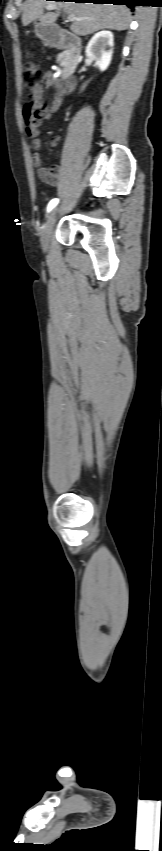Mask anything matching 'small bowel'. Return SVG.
I'll use <instances>...</instances> for the list:
<instances>
[{"mask_svg": "<svg viewBox=\"0 0 162 851\" xmlns=\"http://www.w3.org/2000/svg\"><path fill=\"white\" fill-rule=\"evenodd\" d=\"M47 86L50 89L56 88V91L58 92L49 104H45L43 99ZM77 86L78 80L74 74H71L70 77L62 83L61 77L48 72L45 75L44 84H40L35 88L31 95V104L30 106H27L23 112L25 130L27 135L32 139L33 148L35 149V153L31 157V162L36 168L37 175L40 180L50 185H56L59 183L61 167L57 164H53L50 168H46L42 165V159L39 152L41 149L39 127L59 108L61 100L66 99L68 94L76 92ZM59 141L60 137L54 136L50 140V145L56 146Z\"/></svg>", "mask_w": 162, "mask_h": 851, "instance_id": "obj_1", "label": "small bowel"}]
</instances>
